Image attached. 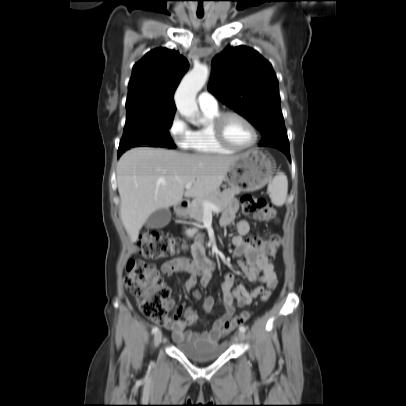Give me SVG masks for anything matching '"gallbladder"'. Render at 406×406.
Returning a JSON list of instances; mask_svg holds the SVG:
<instances>
[{"mask_svg":"<svg viewBox=\"0 0 406 406\" xmlns=\"http://www.w3.org/2000/svg\"><path fill=\"white\" fill-rule=\"evenodd\" d=\"M171 211L168 208L158 209L146 221L148 228H162L169 224Z\"/></svg>","mask_w":406,"mask_h":406,"instance_id":"1","label":"gallbladder"}]
</instances>
